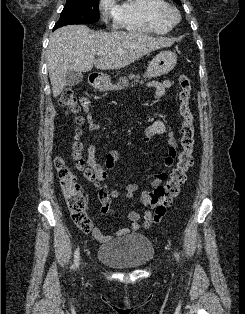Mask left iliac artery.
<instances>
[{
  "label": "left iliac artery",
  "mask_w": 245,
  "mask_h": 314,
  "mask_svg": "<svg viewBox=\"0 0 245 314\" xmlns=\"http://www.w3.org/2000/svg\"><path fill=\"white\" fill-rule=\"evenodd\" d=\"M175 257L177 258V260H179V255L175 252Z\"/></svg>",
  "instance_id": "44dca946"
}]
</instances>
